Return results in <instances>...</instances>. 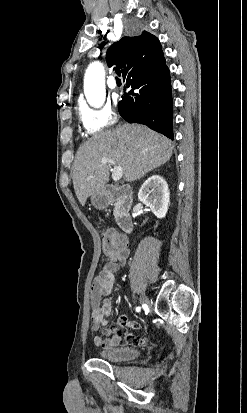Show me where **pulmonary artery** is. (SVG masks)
<instances>
[{
  "instance_id": "e3ab8cb5",
  "label": "pulmonary artery",
  "mask_w": 247,
  "mask_h": 413,
  "mask_svg": "<svg viewBox=\"0 0 247 413\" xmlns=\"http://www.w3.org/2000/svg\"><path fill=\"white\" fill-rule=\"evenodd\" d=\"M107 85L111 90H116L117 89V82L114 78V76H109L108 80H107Z\"/></svg>"
}]
</instances>
